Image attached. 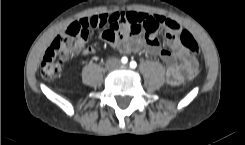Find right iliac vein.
I'll list each match as a JSON object with an SVG mask.
<instances>
[{
    "label": "right iliac vein",
    "mask_w": 245,
    "mask_h": 145,
    "mask_svg": "<svg viewBox=\"0 0 245 145\" xmlns=\"http://www.w3.org/2000/svg\"><path fill=\"white\" fill-rule=\"evenodd\" d=\"M117 65H118V61L115 60V59H113V60H111V61L109 62L108 68L113 69V68H115Z\"/></svg>",
    "instance_id": "63e3f726"
}]
</instances>
